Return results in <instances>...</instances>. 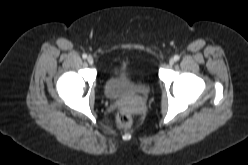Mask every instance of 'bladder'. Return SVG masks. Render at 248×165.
<instances>
[{
	"mask_svg": "<svg viewBox=\"0 0 248 165\" xmlns=\"http://www.w3.org/2000/svg\"><path fill=\"white\" fill-rule=\"evenodd\" d=\"M148 82L135 79L131 71L125 69L118 75H110L104 85V91L109 99L117 100L127 97H145L150 93Z\"/></svg>",
	"mask_w": 248,
	"mask_h": 165,
	"instance_id": "obj_1",
	"label": "bladder"
}]
</instances>
